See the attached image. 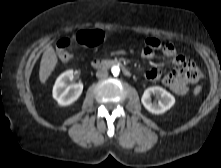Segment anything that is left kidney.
Wrapping results in <instances>:
<instances>
[{"label": "left kidney", "mask_w": 221, "mask_h": 168, "mask_svg": "<svg viewBox=\"0 0 221 168\" xmlns=\"http://www.w3.org/2000/svg\"><path fill=\"white\" fill-rule=\"evenodd\" d=\"M154 94L160 99L158 102L151 101V95ZM143 106L152 114H163L169 110L175 103V98L168 91L160 86L149 87L144 91L141 98Z\"/></svg>", "instance_id": "obj_1"}]
</instances>
